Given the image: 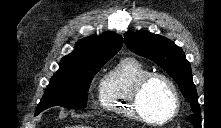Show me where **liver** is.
Here are the masks:
<instances>
[{"mask_svg": "<svg viewBox=\"0 0 221 128\" xmlns=\"http://www.w3.org/2000/svg\"><path fill=\"white\" fill-rule=\"evenodd\" d=\"M73 128H87L86 126H76V127H73Z\"/></svg>", "mask_w": 221, "mask_h": 128, "instance_id": "obj_1", "label": "liver"}]
</instances>
